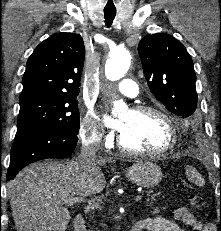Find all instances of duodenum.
I'll use <instances>...</instances> for the list:
<instances>
[{"mask_svg": "<svg viewBox=\"0 0 221 231\" xmlns=\"http://www.w3.org/2000/svg\"><path fill=\"white\" fill-rule=\"evenodd\" d=\"M74 231H86L85 219L82 215H77L73 222ZM129 231H141L136 225L132 226Z\"/></svg>", "mask_w": 221, "mask_h": 231, "instance_id": "410a0bca", "label": "duodenum"}]
</instances>
